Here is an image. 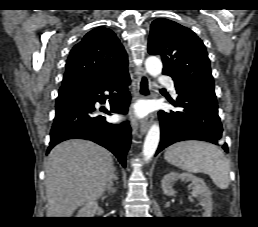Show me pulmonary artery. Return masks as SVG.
Segmentation results:
<instances>
[{
  "mask_svg": "<svg viewBox=\"0 0 258 227\" xmlns=\"http://www.w3.org/2000/svg\"><path fill=\"white\" fill-rule=\"evenodd\" d=\"M158 81H159V83L167 84L169 86L170 90L175 95V88H174V85H173L172 80L170 78L165 77V76H159Z\"/></svg>",
  "mask_w": 258,
  "mask_h": 227,
  "instance_id": "1",
  "label": "pulmonary artery"
}]
</instances>
